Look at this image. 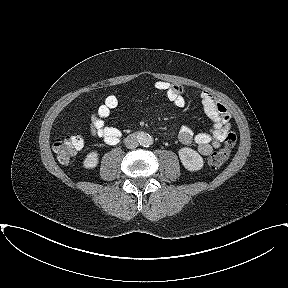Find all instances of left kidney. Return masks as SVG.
<instances>
[{"label":"left kidney","instance_id":"1","mask_svg":"<svg viewBox=\"0 0 288 288\" xmlns=\"http://www.w3.org/2000/svg\"><path fill=\"white\" fill-rule=\"evenodd\" d=\"M179 158L183 166L189 171H198L202 169L204 165L203 158L195 150L184 147L178 152Z\"/></svg>","mask_w":288,"mask_h":288}]
</instances>
